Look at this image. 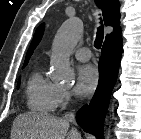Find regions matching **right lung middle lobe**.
<instances>
[{
	"label": "right lung middle lobe",
	"instance_id": "dd1d6c3e",
	"mask_svg": "<svg viewBox=\"0 0 141 139\" xmlns=\"http://www.w3.org/2000/svg\"><path fill=\"white\" fill-rule=\"evenodd\" d=\"M25 66H26V65H24L23 68H24ZM19 84H20V80L18 81V87H19Z\"/></svg>",
	"mask_w": 141,
	"mask_h": 139
}]
</instances>
